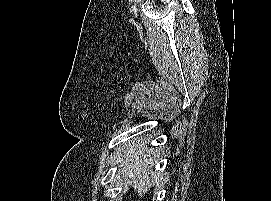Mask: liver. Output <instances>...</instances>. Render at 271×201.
<instances>
[{
  "mask_svg": "<svg viewBox=\"0 0 271 201\" xmlns=\"http://www.w3.org/2000/svg\"><path fill=\"white\" fill-rule=\"evenodd\" d=\"M118 150L124 155L116 162L119 165L118 174L132 185L139 197H143L150 184L154 185L160 178V173L153 171L155 162L151 154L154 149L149 150L147 142L141 138L125 143Z\"/></svg>",
  "mask_w": 271,
  "mask_h": 201,
  "instance_id": "6515ba94",
  "label": "liver"
}]
</instances>
